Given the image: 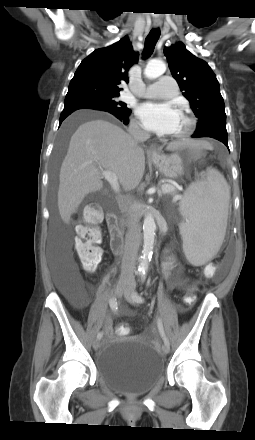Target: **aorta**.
<instances>
[{"mask_svg":"<svg viewBox=\"0 0 255 440\" xmlns=\"http://www.w3.org/2000/svg\"><path fill=\"white\" fill-rule=\"evenodd\" d=\"M166 65L162 60H151L146 65L144 74L149 79H156L164 74ZM156 224L151 214L144 218L143 222V250L140 258L138 271L145 274L153 254Z\"/></svg>","mask_w":255,"mask_h":440,"instance_id":"1","label":"aorta"}]
</instances>
